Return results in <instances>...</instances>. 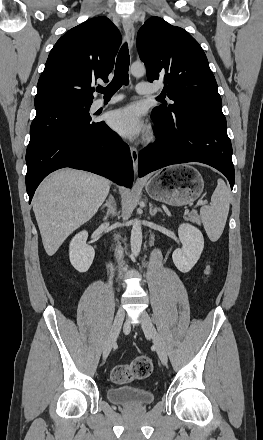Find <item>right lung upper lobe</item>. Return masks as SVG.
Returning <instances> with one entry per match:
<instances>
[{
	"label": "right lung upper lobe",
	"mask_w": 263,
	"mask_h": 440,
	"mask_svg": "<svg viewBox=\"0 0 263 440\" xmlns=\"http://www.w3.org/2000/svg\"><path fill=\"white\" fill-rule=\"evenodd\" d=\"M120 43L119 30L106 17L69 30L50 51L38 81L35 108L59 102L92 103L93 85L98 78L108 81Z\"/></svg>",
	"instance_id": "right-lung-upper-lobe-1"
}]
</instances>
